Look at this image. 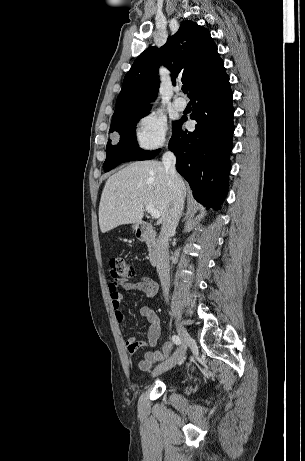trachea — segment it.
<instances>
[{
  "label": "trachea",
  "instance_id": "1",
  "mask_svg": "<svg viewBox=\"0 0 305 461\" xmlns=\"http://www.w3.org/2000/svg\"><path fill=\"white\" fill-rule=\"evenodd\" d=\"M182 91H183L184 93H187V92H188V87L183 86V87H182Z\"/></svg>",
  "mask_w": 305,
  "mask_h": 461
}]
</instances>
